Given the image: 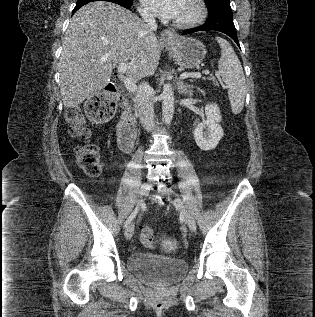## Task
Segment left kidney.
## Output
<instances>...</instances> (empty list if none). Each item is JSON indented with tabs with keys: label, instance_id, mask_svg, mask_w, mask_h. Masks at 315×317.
Masks as SVG:
<instances>
[{
	"label": "left kidney",
	"instance_id": "left-kidney-1",
	"mask_svg": "<svg viewBox=\"0 0 315 317\" xmlns=\"http://www.w3.org/2000/svg\"><path fill=\"white\" fill-rule=\"evenodd\" d=\"M206 121L198 124L194 130V139L201 150L208 151L216 148L224 135L221 121L220 109L216 104L205 106ZM207 128V131L205 129Z\"/></svg>",
	"mask_w": 315,
	"mask_h": 317
}]
</instances>
